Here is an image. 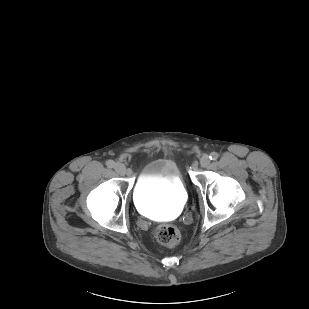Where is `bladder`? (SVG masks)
Returning a JSON list of instances; mask_svg holds the SVG:
<instances>
[{
    "label": "bladder",
    "instance_id": "obj_1",
    "mask_svg": "<svg viewBox=\"0 0 309 309\" xmlns=\"http://www.w3.org/2000/svg\"><path fill=\"white\" fill-rule=\"evenodd\" d=\"M137 209L151 217L168 219L187 203V189L176 162L157 158L143 166L134 188Z\"/></svg>",
    "mask_w": 309,
    "mask_h": 309
}]
</instances>
